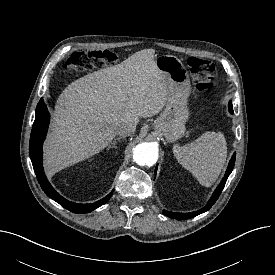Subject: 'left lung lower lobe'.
I'll use <instances>...</instances> for the list:
<instances>
[{
    "instance_id": "1",
    "label": "left lung lower lobe",
    "mask_w": 275,
    "mask_h": 275,
    "mask_svg": "<svg viewBox=\"0 0 275 275\" xmlns=\"http://www.w3.org/2000/svg\"><path fill=\"white\" fill-rule=\"evenodd\" d=\"M235 157H236V154L234 153L231 160H230V162H229V165H228V168L226 170L224 178L222 179L220 185L214 191L212 197L210 198V200L208 201V203L205 207H203L202 209H200L198 211L191 212V213H173V212L170 213V212L164 210V212H163L164 215H166L168 217H171L173 219H188V218L195 217V216H197L199 214H202V213L206 212L207 210H209L211 208V206L218 199L219 195L221 194V192H222V190L225 186V183L227 181L228 176L232 172V169H233L234 163H235ZM156 172H157V167H156V170H155V174H156Z\"/></svg>"
}]
</instances>
